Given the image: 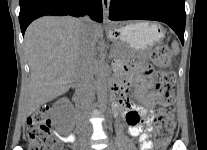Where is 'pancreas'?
<instances>
[{"label":"pancreas","instance_id":"1","mask_svg":"<svg viewBox=\"0 0 207 150\" xmlns=\"http://www.w3.org/2000/svg\"><path fill=\"white\" fill-rule=\"evenodd\" d=\"M120 52H121V49L120 48H115L114 49L115 56L118 55Z\"/></svg>","mask_w":207,"mask_h":150}]
</instances>
